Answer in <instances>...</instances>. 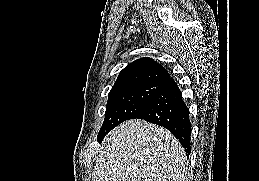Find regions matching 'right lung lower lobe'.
Masks as SVG:
<instances>
[{"label":"right lung lower lobe","mask_w":259,"mask_h":181,"mask_svg":"<svg viewBox=\"0 0 259 181\" xmlns=\"http://www.w3.org/2000/svg\"><path fill=\"white\" fill-rule=\"evenodd\" d=\"M134 118L143 119L168 129L179 140L189 156L191 152L189 111L182 99L181 91L172 77L169 76L160 85L157 93ZM104 136H98V141L101 142Z\"/></svg>","instance_id":"98d812e1"}]
</instances>
